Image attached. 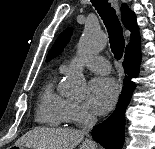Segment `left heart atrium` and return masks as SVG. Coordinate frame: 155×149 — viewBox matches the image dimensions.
Here are the masks:
<instances>
[{
	"mask_svg": "<svg viewBox=\"0 0 155 149\" xmlns=\"http://www.w3.org/2000/svg\"><path fill=\"white\" fill-rule=\"evenodd\" d=\"M117 95V84L112 78L97 77L88 85L85 102L91 111L104 115L114 106Z\"/></svg>",
	"mask_w": 155,
	"mask_h": 149,
	"instance_id": "obj_1",
	"label": "left heart atrium"
}]
</instances>
